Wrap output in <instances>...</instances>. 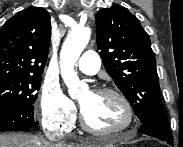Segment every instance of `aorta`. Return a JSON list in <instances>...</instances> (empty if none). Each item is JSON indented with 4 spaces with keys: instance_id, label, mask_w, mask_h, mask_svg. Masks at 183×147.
<instances>
[{
    "instance_id": "obj_1",
    "label": "aorta",
    "mask_w": 183,
    "mask_h": 147,
    "mask_svg": "<svg viewBox=\"0 0 183 147\" xmlns=\"http://www.w3.org/2000/svg\"><path fill=\"white\" fill-rule=\"evenodd\" d=\"M91 29L87 26H77L68 34L61 52H60V68L61 75L68 88L71 98H78L82 90L87 89V84L79 80L74 66L89 42Z\"/></svg>"
}]
</instances>
